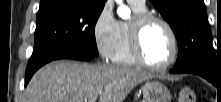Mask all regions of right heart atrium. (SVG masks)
<instances>
[{
	"instance_id": "d8ad5b80",
	"label": "right heart atrium",
	"mask_w": 221,
	"mask_h": 102,
	"mask_svg": "<svg viewBox=\"0 0 221 102\" xmlns=\"http://www.w3.org/2000/svg\"><path fill=\"white\" fill-rule=\"evenodd\" d=\"M92 35L98 54L103 59L112 58L119 38V21L108 4L103 6L96 16L92 26Z\"/></svg>"
}]
</instances>
